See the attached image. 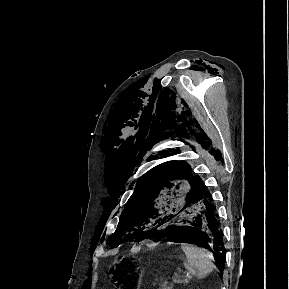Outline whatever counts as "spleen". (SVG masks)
<instances>
[{
    "instance_id": "spleen-1",
    "label": "spleen",
    "mask_w": 289,
    "mask_h": 289,
    "mask_svg": "<svg viewBox=\"0 0 289 289\" xmlns=\"http://www.w3.org/2000/svg\"><path fill=\"white\" fill-rule=\"evenodd\" d=\"M181 249L186 255L187 261L184 263L185 269L197 276L204 278L214 269L212 254L204 248L182 243Z\"/></svg>"
}]
</instances>
